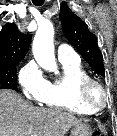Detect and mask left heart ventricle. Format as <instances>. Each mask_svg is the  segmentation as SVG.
Segmentation results:
<instances>
[{
  "instance_id": "left-heart-ventricle-1",
  "label": "left heart ventricle",
  "mask_w": 117,
  "mask_h": 136,
  "mask_svg": "<svg viewBox=\"0 0 117 136\" xmlns=\"http://www.w3.org/2000/svg\"><path fill=\"white\" fill-rule=\"evenodd\" d=\"M94 97H95V99H100L101 95L99 94V92L95 91L94 92Z\"/></svg>"
}]
</instances>
